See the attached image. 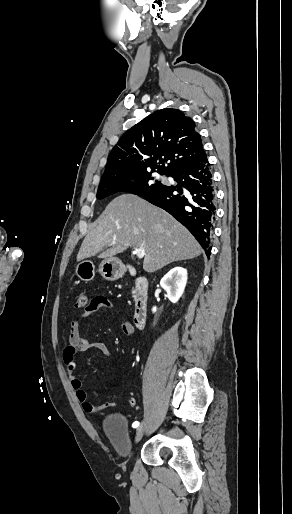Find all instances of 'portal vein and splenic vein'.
I'll return each mask as SVG.
<instances>
[{
  "mask_svg": "<svg viewBox=\"0 0 292 514\" xmlns=\"http://www.w3.org/2000/svg\"><path fill=\"white\" fill-rule=\"evenodd\" d=\"M114 244H116V242H112L111 246H114ZM132 254H136L137 258H143V256H145V250L144 248H135Z\"/></svg>",
  "mask_w": 292,
  "mask_h": 514,
  "instance_id": "obj_1",
  "label": "portal vein and splenic vein"
}]
</instances>
